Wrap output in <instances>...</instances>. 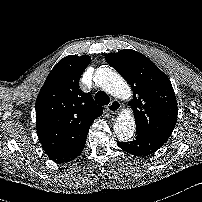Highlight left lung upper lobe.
<instances>
[{
	"label": "left lung upper lobe",
	"instance_id": "5c2ea615",
	"mask_svg": "<svg viewBox=\"0 0 202 202\" xmlns=\"http://www.w3.org/2000/svg\"><path fill=\"white\" fill-rule=\"evenodd\" d=\"M107 60L129 82L133 90L136 133L169 138L178 115L175 93L169 78L146 56L125 49L109 53Z\"/></svg>",
	"mask_w": 202,
	"mask_h": 202
}]
</instances>
